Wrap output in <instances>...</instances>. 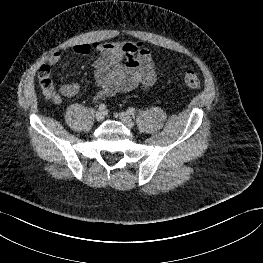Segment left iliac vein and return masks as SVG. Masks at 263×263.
Listing matches in <instances>:
<instances>
[{"label":"left iliac vein","instance_id":"1","mask_svg":"<svg viewBox=\"0 0 263 263\" xmlns=\"http://www.w3.org/2000/svg\"><path fill=\"white\" fill-rule=\"evenodd\" d=\"M120 120L125 124L128 128L134 127V121L132 120L131 116L126 112H121L119 114Z\"/></svg>","mask_w":263,"mask_h":263}]
</instances>
